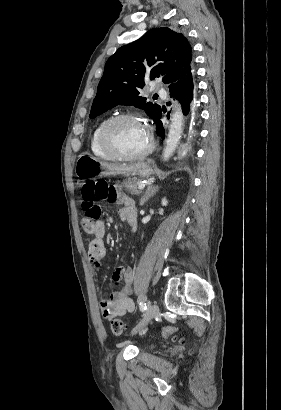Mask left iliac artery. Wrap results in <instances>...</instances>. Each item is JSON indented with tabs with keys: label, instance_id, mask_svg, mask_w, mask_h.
<instances>
[{
	"label": "left iliac artery",
	"instance_id": "left-iliac-artery-1",
	"mask_svg": "<svg viewBox=\"0 0 281 410\" xmlns=\"http://www.w3.org/2000/svg\"><path fill=\"white\" fill-rule=\"evenodd\" d=\"M140 310L144 312L147 309L146 303L144 300L140 301L139 303Z\"/></svg>",
	"mask_w": 281,
	"mask_h": 410
}]
</instances>
